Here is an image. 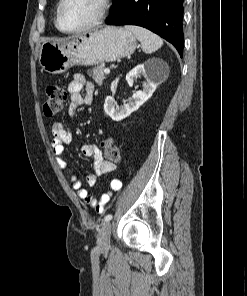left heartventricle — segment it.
Instances as JSON below:
<instances>
[{
  "mask_svg": "<svg viewBox=\"0 0 247 296\" xmlns=\"http://www.w3.org/2000/svg\"><path fill=\"white\" fill-rule=\"evenodd\" d=\"M97 0H66L60 13L63 29L81 28L91 22L98 13Z\"/></svg>",
  "mask_w": 247,
  "mask_h": 296,
  "instance_id": "1",
  "label": "left heart ventricle"
}]
</instances>
